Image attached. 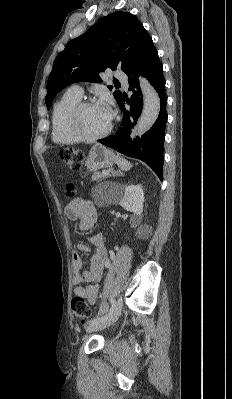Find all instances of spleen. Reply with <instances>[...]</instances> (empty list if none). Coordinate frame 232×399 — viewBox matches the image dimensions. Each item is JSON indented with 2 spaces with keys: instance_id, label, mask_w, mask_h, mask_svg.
I'll use <instances>...</instances> for the list:
<instances>
[{
  "instance_id": "1",
  "label": "spleen",
  "mask_w": 232,
  "mask_h": 399,
  "mask_svg": "<svg viewBox=\"0 0 232 399\" xmlns=\"http://www.w3.org/2000/svg\"><path fill=\"white\" fill-rule=\"evenodd\" d=\"M116 164L121 168V170H123V172H128V170L132 168L130 162H127L124 158H118V156H116Z\"/></svg>"
}]
</instances>
